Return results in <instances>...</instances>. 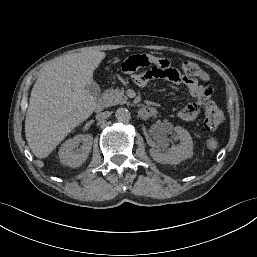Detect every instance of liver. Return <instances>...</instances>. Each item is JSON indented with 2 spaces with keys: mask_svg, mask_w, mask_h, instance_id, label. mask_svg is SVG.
<instances>
[{
  "mask_svg": "<svg viewBox=\"0 0 257 257\" xmlns=\"http://www.w3.org/2000/svg\"><path fill=\"white\" fill-rule=\"evenodd\" d=\"M105 52L86 51L59 57L36 80L25 119L28 145L37 158L47 157L96 107L86 89Z\"/></svg>",
  "mask_w": 257,
  "mask_h": 257,
  "instance_id": "1",
  "label": "liver"
}]
</instances>
